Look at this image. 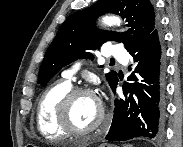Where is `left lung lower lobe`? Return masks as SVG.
Here are the masks:
<instances>
[{
  "mask_svg": "<svg viewBox=\"0 0 183 147\" xmlns=\"http://www.w3.org/2000/svg\"><path fill=\"white\" fill-rule=\"evenodd\" d=\"M135 70L123 85L127 99L115 100L107 140L125 141L134 137L155 138L162 134L165 115V53L158 26L147 38L128 50ZM118 82V81H117ZM116 83L112 90L115 92Z\"/></svg>",
  "mask_w": 183,
  "mask_h": 147,
  "instance_id": "0a47b994",
  "label": "left lung lower lobe"
}]
</instances>
